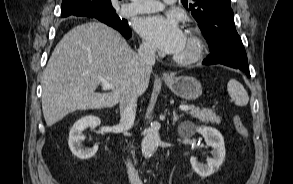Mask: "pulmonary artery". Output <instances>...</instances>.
<instances>
[{"label": "pulmonary artery", "mask_w": 293, "mask_h": 184, "mask_svg": "<svg viewBox=\"0 0 293 184\" xmlns=\"http://www.w3.org/2000/svg\"><path fill=\"white\" fill-rule=\"evenodd\" d=\"M175 2L176 0H163V3L157 0H132L122 7L121 12L124 15L152 13L162 10L164 4L171 5Z\"/></svg>", "instance_id": "e3ab8cb5"}]
</instances>
